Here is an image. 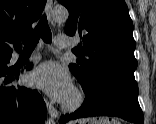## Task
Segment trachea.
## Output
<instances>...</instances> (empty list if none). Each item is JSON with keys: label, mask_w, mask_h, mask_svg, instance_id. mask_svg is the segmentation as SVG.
Masks as SVG:
<instances>
[{"label": "trachea", "mask_w": 156, "mask_h": 124, "mask_svg": "<svg viewBox=\"0 0 156 124\" xmlns=\"http://www.w3.org/2000/svg\"><path fill=\"white\" fill-rule=\"evenodd\" d=\"M40 38L45 43L52 42V33L45 15L42 16L34 31L24 40V50H33Z\"/></svg>", "instance_id": "trachea-1"}]
</instances>
